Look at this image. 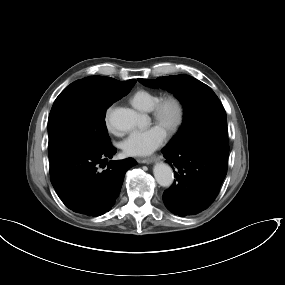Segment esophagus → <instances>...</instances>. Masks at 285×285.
<instances>
[{"instance_id":"1","label":"esophagus","mask_w":285,"mask_h":285,"mask_svg":"<svg viewBox=\"0 0 285 285\" xmlns=\"http://www.w3.org/2000/svg\"><path fill=\"white\" fill-rule=\"evenodd\" d=\"M160 158H161L160 156H151L148 158H138L137 161L139 163L150 164V163L159 161Z\"/></svg>"}]
</instances>
